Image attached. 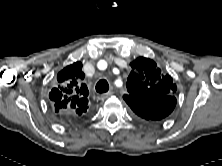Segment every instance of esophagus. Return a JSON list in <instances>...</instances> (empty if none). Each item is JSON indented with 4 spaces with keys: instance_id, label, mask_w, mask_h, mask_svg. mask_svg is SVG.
<instances>
[{
    "instance_id": "esophagus-1",
    "label": "esophagus",
    "mask_w": 222,
    "mask_h": 166,
    "mask_svg": "<svg viewBox=\"0 0 222 166\" xmlns=\"http://www.w3.org/2000/svg\"><path fill=\"white\" fill-rule=\"evenodd\" d=\"M113 90L111 89L110 91H108L107 93H104V94H102L101 95V98L102 99H106V98H108V97H110L111 95H113Z\"/></svg>"
}]
</instances>
